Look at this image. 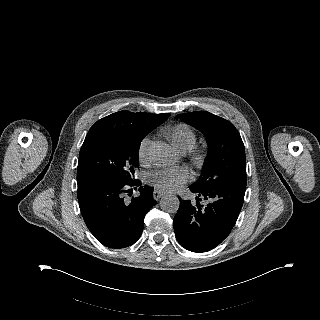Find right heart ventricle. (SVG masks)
Returning a JSON list of instances; mask_svg holds the SVG:
<instances>
[{"instance_id":"e07e8e85","label":"right heart ventricle","mask_w":320,"mask_h":320,"mask_svg":"<svg viewBox=\"0 0 320 320\" xmlns=\"http://www.w3.org/2000/svg\"><path fill=\"white\" fill-rule=\"evenodd\" d=\"M172 144L179 151H189L196 143L197 137L193 129L185 124L178 123L167 129Z\"/></svg>"}]
</instances>
